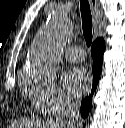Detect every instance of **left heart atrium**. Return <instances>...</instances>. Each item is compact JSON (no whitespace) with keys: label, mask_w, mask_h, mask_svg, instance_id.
I'll return each instance as SVG.
<instances>
[{"label":"left heart atrium","mask_w":125,"mask_h":128,"mask_svg":"<svg viewBox=\"0 0 125 128\" xmlns=\"http://www.w3.org/2000/svg\"><path fill=\"white\" fill-rule=\"evenodd\" d=\"M89 83V75L82 67H71L62 77L64 89L73 96L81 95L86 90Z\"/></svg>","instance_id":"left-heart-atrium-1"}]
</instances>
